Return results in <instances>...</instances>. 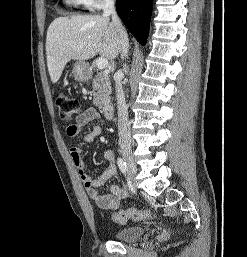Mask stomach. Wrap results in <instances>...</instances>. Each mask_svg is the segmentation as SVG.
I'll use <instances>...</instances> for the list:
<instances>
[{
	"mask_svg": "<svg viewBox=\"0 0 247 257\" xmlns=\"http://www.w3.org/2000/svg\"><path fill=\"white\" fill-rule=\"evenodd\" d=\"M73 75L77 81H87L90 75L87 63L77 61L73 67Z\"/></svg>",
	"mask_w": 247,
	"mask_h": 257,
	"instance_id": "1",
	"label": "stomach"
}]
</instances>
